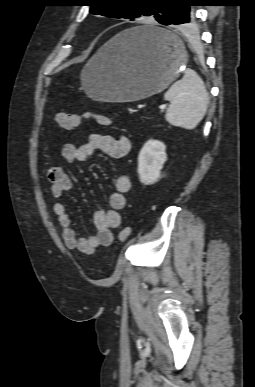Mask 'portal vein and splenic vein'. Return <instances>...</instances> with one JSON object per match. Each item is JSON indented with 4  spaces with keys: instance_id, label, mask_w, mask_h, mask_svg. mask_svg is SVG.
Masks as SVG:
<instances>
[{
    "instance_id": "18ae733b",
    "label": "portal vein and splenic vein",
    "mask_w": 255,
    "mask_h": 387,
    "mask_svg": "<svg viewBox=\"0 0 255 387\" xmlns=\"http://www.w3.org/2000/svg\"><path fill=\"white\" fill-rule=\"evenodd\" d=\"M159 108L160 110H164L166 108V105H161Z\"/></svg>"
}]
</instances>
